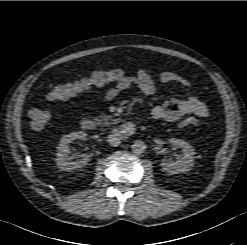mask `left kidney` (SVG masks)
I'll use <instances>...</instances> for the list:
<instances>
[{"mask_svg":"<svg viewBox=\"0 0 247 245\" xmlns=\"http://www.w3.org/2000/svg\"><path fill=\"white\" fill-rule=\"evenodd\" d=\"M168 142L182 150V154L178 155L176 161H164L161 163L163 171L170 174H180L189 171L194 164L195 149L181 139L170 138Z\"/></svg>","mask_w":247,"mask_h":245,"instance_id":"left-kidney-1","label":"left kidney"}]
</instances>
